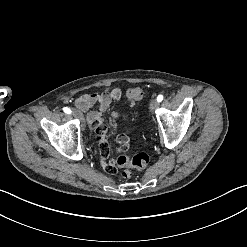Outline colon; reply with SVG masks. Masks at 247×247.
I'll list each match as a JSON object with an SVG mask.
<instances>
[{
    "label": "colon",
    "mask_w": 247,
    "mask_h": 247,
    "mask_svg": "<svg viewBox=\"0 0 247 247\" xmlns=\"http://www.w3.org/2000/svg\"><path fill=\"white\" fill-rule=\"evenodd\" d=\"M127 96L131 100H140L144 96V90L140 87H134L127 92ZM150 156L145 152L134 153L128 151L126 156L124 154L117 156L116 164L119 166L117 172L121 170V174L129 178L132 175V170H142L148 165Z\"/></svg>",
    "instance_id": "1"
}]
</instances>
